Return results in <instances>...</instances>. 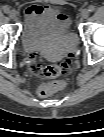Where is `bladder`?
Masks as SVG:
<instances>
[{
  "mask_svg": "<svg viewBox=\"0 0 104 137\" xmlns=\"http://www.w3.org/2000/svg\"><path fill=\"white\" fill-rule=\"evenodd\" d=\"M21 38L31 48L47 59L56 60L72 52L78 40L69 30V21L59 17L50 20L47 26L35 33L22 32Z\"/></svg>",
  "mask_w": 104,
  "mask_h": 137,
  "instance_id": "31cf9c89",
  "label": "bladder"
}]
</instances>
